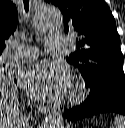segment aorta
Returning <instances> with one entry per match:
<instances>
[{
  "label": "aorta",
  "mask_w": 125,
  "mask_h": 128,
  "mask_svg": "<svg viewBox=\"0 0 125 128\" xmlns=\"http://www.w3.org/2000/svg\"><path fill=\"white\" fill-rule=\"evenodd\" d=\"M62 24V15L58 8L45 4L34 14V26L40 32L57 30ZM41 128H64L63 117L59 112H52L42 123Z\"/></svg>",
  "instance_id": "aorta-1"
}]
</instances>
